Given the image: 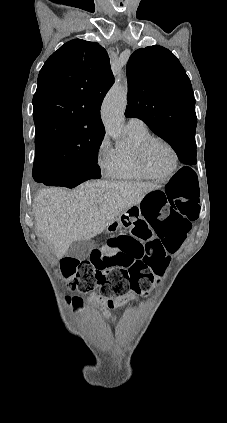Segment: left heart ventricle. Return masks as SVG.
<instances>
[{"label": "left heart ventricle", "instance_id": "left-heart-ventricle-1", "mask_svg": "<svg viewBox=\"0 0 227 423\" xmlns=\"http://www.w3.org/2000/svg\"><path fill=\"white\" fill-rule=\"evenodd\" d=\"M172 161L171 152L160 143L153 144L146 155V162L149 169L159 175L165 174L170 170Z\"/></svg>", "mask_w": 227, "mask_h": 423}]
</instances>
